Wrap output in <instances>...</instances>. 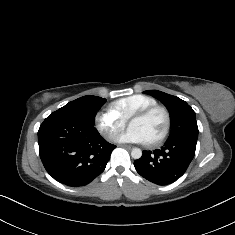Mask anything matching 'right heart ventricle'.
Returning <instances> with one entry per match:
<instances>
[{"instance_id": "1", "label": "right heart ventricle", "mask_w": 235, "mask_h": 235, "mask_svg": "<svg viewBox=\"0 0 235 235\" xmlns=\"http://www.w3.org/2000/svg\"><path fill=\"white\" fill-rule=\"evenodd\" d=\"M157 105L156 100L145 94H134L120 98L111 104L113 111L125 119L131 118L137 112Z\"/></svg>"}]
</instances>
